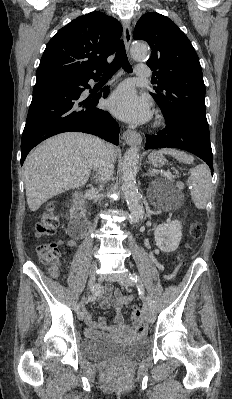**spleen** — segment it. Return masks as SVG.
<instances>
[{
  "mask_svg": "<svg viewBox=\"0 0 232 399\" xmlns=\"http://www.w3.org/2000/svg\"><path fill=\"white\" fill-rule=\"evenodd\" d=\"M159 154H167V156H172V158H176L178 162H184V164H192L194 162L193 156H188V154L179 152V150H172V148H163V150H159ZM189 174L187 186L192 188L191 198L198 209H204L209 200L211 190L210 170L206 164H200V166L189 170Z\"/></svg>",
  "mask_w": 232,
  "mask_h": 399,
  "instance_id": "spleen-1",
  "label": "spleen"
}]
</instances>
